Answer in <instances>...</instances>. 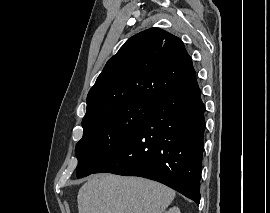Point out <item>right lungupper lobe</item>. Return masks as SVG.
I'll return each mask as SVG.
<instances>
[{"label":"right lung upper lobe","mask_w":270,"mask_h":213,"mask_svg":"<svg viewBox=\"0 0 270 213\" xmlns=\"http://www.w3.org/2000/svg\"><path fill=\"white\" fill-rule=\"evenodd\" d=\"M195 74L178 37L160 28L140 32L107 61L88 93L83 121L135 100L157 104Z\"/></svg>","instance_id":"right-lung-upper-lobe-1"}]
</instances>
